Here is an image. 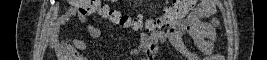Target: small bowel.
<instances>
[{
  "label": "small bowel",
  "instance_id": "c3829d8e",
  "mask_svg": "<svg viewBox=\"0 0 267 60\" xmlns=\"http://www.w3.org/2000/svg\"><path fill=\"white\" fill-rule=\"evenodd\" d=\"M215 13V1L212 0H190V7L187 13L181 18L179 23L166 32L154 31L150 34H141L138 46L131 50V55L139 57L146 55L147 59L153 60L159 55L161 48L165 44H170L176 52L186 60H221L219 54L214 53V43L217 38L216 28L219 21L211 18L204 21V18L212 17ZM73 17L81 22L86 21L87 16L81 14L75 7L68 8L63 20ZM61 29V22L57 23L54 29V36L57 37ZM87 30L92 38H99L101 31L94 25H88ZM188 35L194 42L197 49L205 55H200L191 51L184 43L182 35ZM61 56L78 55L88 49V42L83 38H75L72 44L69 40L63 39L55 46Z\"/></svg>",
  "mask_w": 267,
  "mask_h": 60
}]
</instances>
